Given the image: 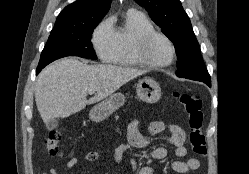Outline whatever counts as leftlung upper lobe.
Returning <instances> with one entry per match:
<instances>
[{"label":"left lung upper lobe","instance_id":"1","mask_svg":"<svg viewBox=\"0 0 249 174\" xmlns=\"http://www.w3.org/2000/svg\"><path fill=\"white\" fill-rule=\"evenodd\" d=\"M173 42L177 54L178 77L195 79L210 75L201 56L190 19L179 0H135Z\"/></svg>","mask_w":249,"mask_h":174}]
</instances>
